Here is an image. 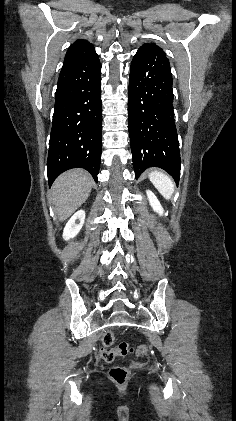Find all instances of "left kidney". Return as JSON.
Segmentation results:
<instances>
[{
  "mask_svg": "<svg viewBox=\"0 0 236 421\" xmlns=\"http://www.w3.org/2000/svg\"><path fill=\"white\" fill-rule=\"evenodd\" d=\"M146 194L153 211H155V213H159V215H163V208L154 192H152V190H146Z\"/></svg>",
  "mask_w": 236,
  "mask_h": 421,
  "instance_id": "left-kidney-1",
  "label": "left kidney"
}]
</instances>
